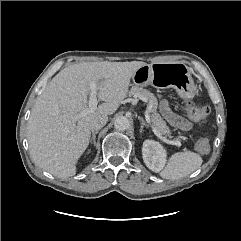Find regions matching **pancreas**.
Returning <instances> with one entry per match:
<instances>
[{"label":"pancreas","mask_w":241,"mask_h":241,"mask_svg":"<svg viewBox=\"0 0 241 241\" xmlns=\"http://www.w3.org/2000/svg\"><path fill=\"white\" fill-rule=\"evenodd\" d=\"M130 95L133 97H143L149 102V108L148 111L151 113V121L153 127L161 134L169 136L170 130L166 124V122L163 120V118L160 116V114L157 112V106H158V100L155 97L153 93H151L149 90L144 89L142 87L133 86L129 92Z\"/></svg>","instance_id":"obj_1"}]
</instances>
